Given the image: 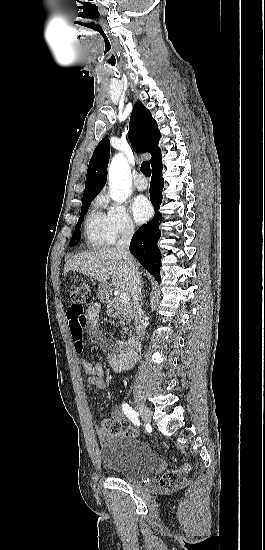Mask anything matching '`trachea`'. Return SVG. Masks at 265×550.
Wrapping results in <instances>:
<instances>
[{"label": "trachea", "instance_id": "3493384b", "mask_svg": "<svg viewBox=\"0 0 265 550\" xmlns=\"http://www.w3.org/2000/svg\"><path fill=\"white\" fill-rule=\"evenodd\" d=\"M140 170L146 177H150L151 170H150V164L148 162H143L141 164Z\"/></svg>", "mask_w": 265, "mask_h": 550}]
</instances>
